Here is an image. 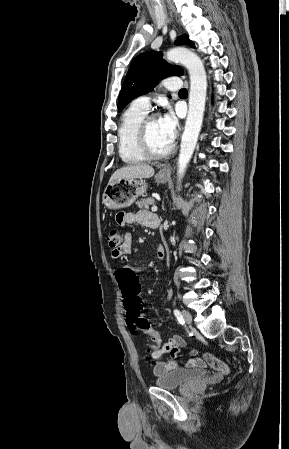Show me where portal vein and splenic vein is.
Instances as JSON below:
<instances>
[{
	"instance_id": "1",
	"label": "portal vein and splenic vein",
	"mask_w": 289,
	"mask_h": 449,
	"mask_svg": "<svg viewBox=\"0 0 289 449\" xmlns=\"http://www.w3.org/2000/svg\"><path fill=\"white\" fill-rule=\"evenodd\" d=\"M157 209H158L157 206H153L151 210H152L153 212H156Z\"/></svg>"
}]
</instances>
